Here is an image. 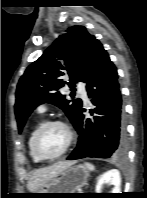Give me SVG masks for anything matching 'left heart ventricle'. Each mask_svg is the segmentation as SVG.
Returning a JSON list of instances; mask_svg holds the SVG:
<instances>
[{
    "instance_id": "b2bd125f",
    "label": "left heart ventricle",
    "mask_w": 147,
    "mask_h": 198,
    "mask_svg": "<svg viewBox=\"0 0 147 198\" xmlns=\"http://www.w3.org/2000/svg\"><path fill=\"white\" fill-rule=\"evenodd\" d=\"M67 140V134L63 127L59 125H53L47 128L39 139L40 151L48 156L59 153Z\"/></svg>"
}]
</instances>
